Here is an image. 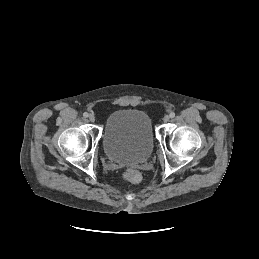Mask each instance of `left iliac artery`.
<instances>
[{"instance_id": "1", "label": "left iliac artery", "mask_w": 259, "mask_h": 259, "mask_svg": "<svg viewBox=\"0 0 259 259\" xmlns=\"http://www.w3.org/2000/svg\"><path fill=\"white\" fill-rule=\"evenodd\" d=\"M169 116H170L171 118H174V117H175V113H174V112H171Z\"/></svg>"}]
</instances>
